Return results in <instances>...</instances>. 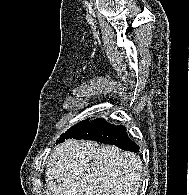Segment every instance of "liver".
Wrapping results in <instances>:
<instances>
[{
  "label": "liver",
  "mask_w": 189,
  "mask_h": 195,
  "mask_svg": "<svg viewBox=\"0 0 189 195\" xmlns=\"http://www.w3.org/2000/svg\"><path fill=\"white\" fill-rule=\"evenodd\" d=\"M141 171V159L134 153L67 140L47 163V195H138Z\"/></svg>",
  "instance_id": "6515ba94"
}]
</instances>
